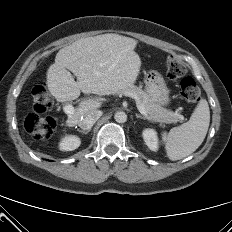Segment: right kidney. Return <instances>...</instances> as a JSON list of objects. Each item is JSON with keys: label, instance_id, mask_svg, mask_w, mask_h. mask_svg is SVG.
I'll return each instance as SVG.
<instances>
[{"label": "right kidney", "instance_id": "ca27d5eb", "mask_svg": "<svg viewBox=\"0 0 232 232\" xmlns=\"http://www.w3.org/2000/svg\"><path fill=\"white\" fill-rule=\"evenodd\" d=\"M80 144L81 140L79 137L75 135H68L61 140L59 147L62 151H73L77 149Z\"/></svg>", "mask_w": 232, "mask_h": 232}]
</instances>
